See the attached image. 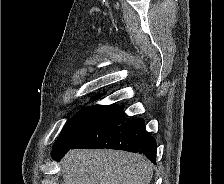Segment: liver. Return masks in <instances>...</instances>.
<instances>
[{"label":"liver","instance_id":"6515ba94","mask_svg":"<svg viewBox=\"0 0 224 184\" xmlns=\"http://www.w3.org/2000/svg\"><path fill=\"white\" fill-rule=\"evenodd\" d=\"M62 171L64 184H149L153 165L124 151L76 149L62 159Z\"/></svg>","mask_w":224,"mask_h":184}]
</instances>
